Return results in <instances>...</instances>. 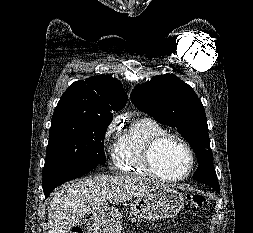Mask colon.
<instances>
[{
	"mask_svg": "<svg viewBox=\"0 0 253 233\" xmlns=\"http://www.w3.org/2000/svg\"><path fill=\"white\" fill-rule=\"evenodd\" d=\"M187 199L189 200L191 205L195 208L201 207L206 201L205 196L202 194H198V193L188 194ZM71 233H83V230L81 227H74L71 230Z\"/></svg>",
	"mask_w": 253,
	"mask_h": 233,
	"instance_id": "5ec220e1",
	"label": "colon"
}]
</instances>
